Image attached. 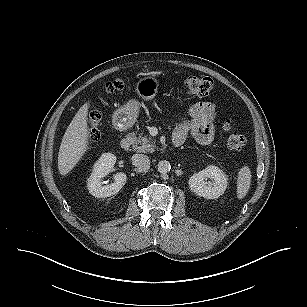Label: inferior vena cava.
<instances>
[{
  "label": "inferior vena cava",
  "instance_id": "602c4592",
  "mask_svg": "<svg viewBox=\"0 0 307 307\" xmlns=\"http://www.w3.org/2000/svg\"><path fill=\"white\" fill-rule=\"evenodd\" d=\"M132 164L142 171H147L150 168L149 157L144 154H134Z\"/></svg>",
  "mask_w": 307,
  "mask_h": 307
}]
</instances>
